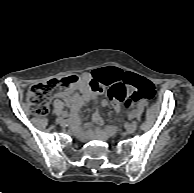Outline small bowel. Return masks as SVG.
<instances>
[{"mask_svg":"<svg viewBox=\"0 0 194 193\" xmlns=\"http://www.w3.org/2000/svg\"><path fill=\"white\" fill-rule=\"evenodd\" d=\"M124 71L115 67H107V68H98L92 70L90 72L83 73L79 78L77 85L74 89L70 91H60L57 93V97L63 99L66 104L70 107L71 111L74 114H77L82 106L85 104H93L95 105V109L93 112V122L97 126L103 125V118L100 115L99 108L105 107L107 105L106 101H102L100 104L98 102V98L94 95L92 91L91 84H104L113 79L120 80ZM128 94H135L138 92H143L145 96H148L150 93V86L144 88L139 85H127ZM116 111H120V106H115ZM88 127H91L90 125ZM78 130V128L76 127ZM116 131L115 125H106L100 132V136L102 138H108L112 136Z\"/></svg>","mask_w":194,"mask_h":193,"instance_id":"1","label":"small bowel"}]
</instances>
